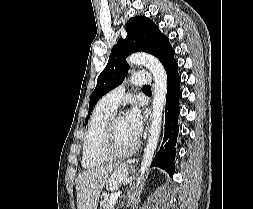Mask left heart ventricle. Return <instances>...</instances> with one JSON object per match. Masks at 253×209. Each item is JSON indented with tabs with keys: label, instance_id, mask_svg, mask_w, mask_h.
I'll return each mask as SVG.
<instances>
[{
	"label": "left heart ventricle",
	"instance_id": "obj_1",
	"mask_svg": "<svg viewBox=\"0 0 253 209\" xmlns=\"http://www.w3.org/2000/svg\"><path fill=\"white\" fill-rule=\"evenodd\" d=\"M113 134H114V147L118 151H125L131 148L136 141L131 136L126 126L124 117L118 118L117 121L115 122L113 127Z\"/></svg>",
	"mask_w": 253,
	"mask_h": 209
}]
</instances>
